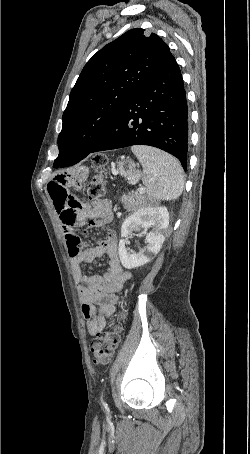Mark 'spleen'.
Returning <instances> with one entry per match:
<instances>
[{
    "instance_id": "1",
    "label": "spleen",
    "mask_w": 250,
    "mask_h": 454,
    "mask_svg": "<svg viewBox=\"0 0 250 454\" xmlns=\"http://www.w3.org/2000/svg\"><path fill=\"white\" fill-rule=\"evenodd\" d=\"M143 167L142 181L149 199L175 200L184 188L181 164L171 155L158 149L135 145L131 147Z\"/></svg>"
}]
</instances>
